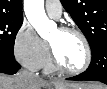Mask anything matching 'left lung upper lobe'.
<instances>
[{"instance_id":"1","label":"left lung upper lobe","mask_w":107,"mask_h":89,"mask_svg":"<svg viewBox=\"0 0 107 89\" xmlns=\"http://www.w3.org/2000/svg\"><path fill=\"white\" fill-rule=\"evenodd\" d=\"M87 38L91 50L107 42V0H61Z\"/></svg>"}]
</instances>
